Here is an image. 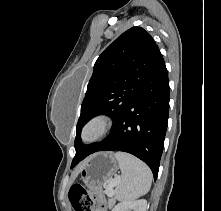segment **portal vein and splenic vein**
I'll return each mask as SVG.
<instances>
[{"mask_svg":"<svg viewBox=\"0 0 221 211\" xmlns=\"http://www.w3.org/2000/svg\"><path fill=\"white\" fill-rule=\"evenodd\" d=\"M119 183V177H115L112 181L109 182V184L106 186V192L107 195L109 197H111L112 192H113V188L118 185Z\"/></svg>","mask_w":221,"mask_h":211,"instance_id":"1","label":"portal vein and splenic vein"}]
</instances>
